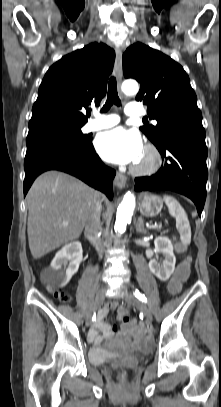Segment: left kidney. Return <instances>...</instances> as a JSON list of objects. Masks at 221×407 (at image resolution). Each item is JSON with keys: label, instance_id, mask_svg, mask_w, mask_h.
<instances>
[{"label": "left kidney", "instance_id": "5707ae66", "mask_svg": "<svg viewBox=\"0 0 221 407\" xmlns=\"http://www.w3.org/2000/svg\"><path fill=\"white\" fill-rule=\"evenodd\" d=\"M155 253H161L164 257L163 265L160 266L156 259L149 262L150 271L161 281H167L175 269L176 258L173 253V246L169 238L158 236L155 241Z\"/></svg>", "mask_w": 221, "mask_h": 407}]
</instances>
